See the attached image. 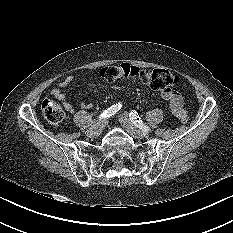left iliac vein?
<instances>
[{
  "mask_svg": "<svg viewBox=\"0 0 233 233\" xmlns=\"http://www.w3.org/2000/svg\"><path fill=\"white\" fill-rule=\"evenodd\" d=\"M119 121L123 128L134 138L142 139L148 136V133L137 128L128 118L126 113L119 116Z\"/></svg>",
  "mask_w": 233,
  "mask_h": 233,
  "instance_id": "left-iliac-vein-1",
  "label": "left iliac vein"
}]
</instances>
